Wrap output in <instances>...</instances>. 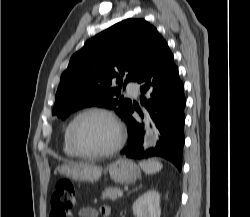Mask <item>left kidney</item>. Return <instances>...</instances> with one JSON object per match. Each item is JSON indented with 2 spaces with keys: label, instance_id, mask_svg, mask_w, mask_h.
Segmentation results:
<instances>
[{
  "label": "left kidney",
  "instance_id": "obj_1",
  "mask_svg": "<svg viewBox=\"0 0 250 217\" xmlns=\"http://www.w3.org/2000/svg\"><path fill=\"white\" fill-rule=\"evenodd\" d=\"M133 214L136 217H160V194L156 190L142 194L133 204Z\"/></svg>",
  "mask_w": 250,
  "mask_h": 217
}]
</instances>
